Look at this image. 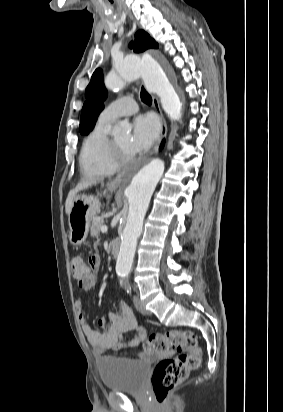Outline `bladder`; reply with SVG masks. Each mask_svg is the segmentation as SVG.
<instances>
[{
  "mask_svg": "<svg viewBox=\"0 0 283 412\" xmlns=\"http://www.w3.org/2000/svg\"><path fill=\"white\" fill-rule=\"evenodd\" d=\"M148 370L146 362L114 359L101 367L100 376L108 389L138 393L144 389Z\"/></svg>",
  "mask_w": 283,
  "mask_h": 412,
  "instance_id": "1",
  "label": "bladder"
}]
</instances>
